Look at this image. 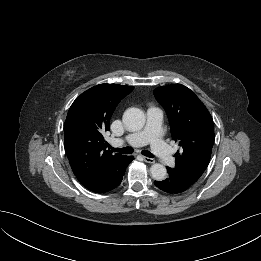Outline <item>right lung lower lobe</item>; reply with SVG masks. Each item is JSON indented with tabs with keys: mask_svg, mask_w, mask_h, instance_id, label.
<instances>
[{
	"mask_svg": "<svg viewBox=\"0 0 261 261\" xmlns=\"http://www.w3.org/2000/svg\"><path fill=\"white\" fill-rule=\"evenodd\" d=\"M132 160H133L132 156H127L125 158L123 166L116 173H114V175L112 177H110L105 182H103L89 190L96 192V193H103V192H107V191H111L112 189H115L121 183V181L123 179V175L125 174V170Z\"/></svg>",
	"mask_w": 261,
	"mask_h": 261,
	"instance_id": "1",
	"label": "right lung lower lobe"
}]
</instances>
